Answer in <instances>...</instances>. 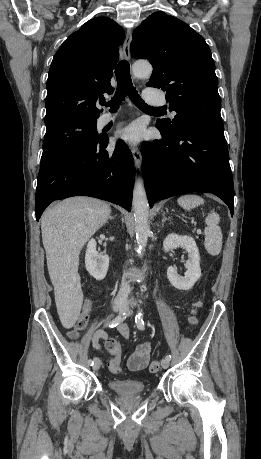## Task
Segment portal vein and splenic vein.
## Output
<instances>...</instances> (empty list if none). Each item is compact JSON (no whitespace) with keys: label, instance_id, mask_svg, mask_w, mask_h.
<instances>
[{"label":"portal vein and splenic vein","instance_id":"portal-vein-and-splenic-vein-1","mask_svg":"<svg viewBox=\"0 0 261 459\" xmlns=\"http://www.w3.org/2000/svg\"><path fill=\"white\" fill-rule=\"evenodd\" d=\"M197 234H201V230L200 229H197Z\"/></svg>","mask_w":261,"mask_h":459}]
</instances>
